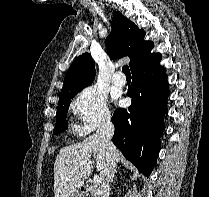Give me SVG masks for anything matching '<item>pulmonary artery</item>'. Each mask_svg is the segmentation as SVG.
<instances>
[{"instance_id": "pulmonary-artery-1", "label": "pulmonary artery", "mask_w": 209, "mask_h": 197, "mask_svg": "<svg viewBox=\"0 0 209 197\" xmlns=\"http://www.w3.org/2000/svg\"><path fill=\"white\" fill-rule=\"evenodd\" d=\"M112 82L115 86L123 87L126 84V78L121 72H116L112 78Z\"/></svg>"}]
</instances>
